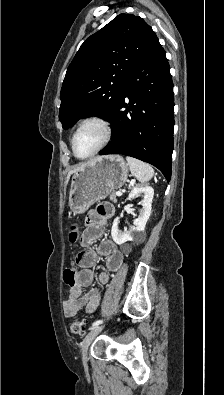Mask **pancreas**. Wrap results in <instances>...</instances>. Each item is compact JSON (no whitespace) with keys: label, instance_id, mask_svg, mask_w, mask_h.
<instances>
[{"label":"pancreas","instance_id":"pancreas-1","mask_svg":"<svg viewBox=\"0 0 224 395\" xmlns=\"http://www.w3.org/2000/svg\"><path fill=\"white\" fill-rule=\"evenodd\" d=\"M109 198H110V200L113 201V202H116V201H117V198H116V195H115L114 192H112V193L109 194Z\"/></svg>","mask_w":224,"mask_h":395}]
</instances>
